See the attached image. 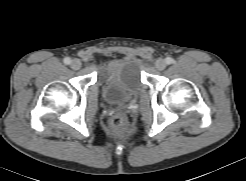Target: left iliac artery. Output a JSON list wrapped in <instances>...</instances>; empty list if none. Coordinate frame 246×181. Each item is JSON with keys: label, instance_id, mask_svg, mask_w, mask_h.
<instances>
[{"label": "left iliac artery", "instance_id": "1", "mask_svg": "<svg viewBox=\"0 0 246 181\" xmlns=\"http://www.w3.org/2000/svg\"><path fill=\"white\" fill-rule=\"evenodd\" d=\"M174 62V60L171 57H167L166 58V63L167 64H172Z\"/></svg>", "mask_w": 246, "mask_h": 181}]
</instances>
